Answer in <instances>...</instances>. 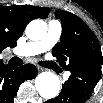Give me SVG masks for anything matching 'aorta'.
I'll use <instances>...</instances> for the list:
<instances>
[{"instance_id":"obj_1","label":"aorta","mask_w":103,"mask_h":103,"mask_svg":"<svg viewBox=\"0 0 103 103\" xmlns=\"http://www.w3.org/2000/svg\"><path fill=\"white\" fill-rule=\"evenodd\" d=\"M47 24L41 19L29 22L26 27V35L30 40L38 41L45 37ZM35 87L42 98H55L60 91V80L52 72H42L35 79Z\"/></svg>"}]
</instances>
